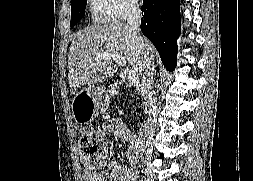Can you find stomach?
<instances>
[{"mask_svg": "<svg viewBox=\"0 0 253 181\" xmlns=\"http://www.w3.org/2000/svg\"><path fill=\"white\" fill-rule=\"evenodd\" d=\"M108 103V95L103 87L96 85L86 88L73 100V117L77 122L86 123L104 113Z\"/></svg>", "mask_w": 253, "mask_h": 181, "instance_id": "1", "label": "stomach"}]
</instances>
